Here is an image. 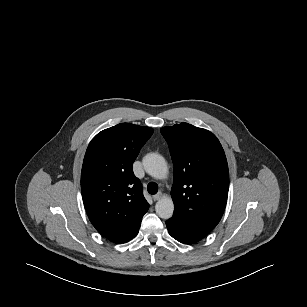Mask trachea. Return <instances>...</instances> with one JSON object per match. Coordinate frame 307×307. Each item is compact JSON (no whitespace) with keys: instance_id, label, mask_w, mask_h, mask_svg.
<instances>
[{"instance_id":"1","label":"trachea","mask_w":307,"mask_h":307,"mask_svg":"<svg viewBox=\"0 0 307 307\" xmlns=\"http://www.w3.org/2000/svg\"><path fill=\"white\" fill-rule=\"evenodd\" d=\"M147 190L150 194H156L158 192V185L154 182H150L147 185Z\"/></svg>"}]
</instances>
